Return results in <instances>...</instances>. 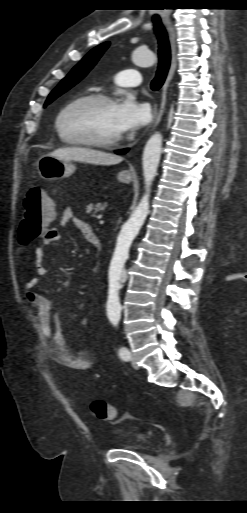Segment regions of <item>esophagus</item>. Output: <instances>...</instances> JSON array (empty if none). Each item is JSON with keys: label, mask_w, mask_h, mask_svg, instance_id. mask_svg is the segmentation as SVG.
<instances>
[{"label": "esophagus", "mask_w": 247, "mask_h": 513, "mask_svg": "<svg viewBox=\"0 0 247 513\" xmlns=\"http://www.w3.org/2000/svg\"><path fill=\"white\" fill-rule=\"evenodd\" d=\"M165 24H166V28H167V31L169 34L172 59H171V65H170L168 75L166 77V80H165L162 88H161L159 107H158L157 103H155L153 105V122H152L153 129L159 124V122L162 118V115L164 113L166 102H167V89H168L169 83L172 80L173 75L176 70V67H177L176 30L170 20H166Z\"/></svg>", "instance_id": "34e87169"}]
</instances>
